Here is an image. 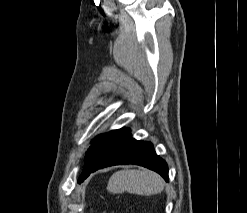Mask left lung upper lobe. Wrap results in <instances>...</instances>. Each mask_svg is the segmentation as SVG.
I'll list each match as a JSON object with an SVG mask.
<instances>
[{"label": "left lung upper lobe", "mask_w": 247, "mask_h": 213, "mask_svg": "<svg viewBox=\"0 0 247 213\" xmlns=\"http://www.w3.org/2000/svg\"><path fill=\"white\" fill-rule=\"evenodd\" d=\"M97 138H98V137H97ZM97 138H95V139L93 140V142H94ZM78 183H81V180H80V179H78Z\"/></svg>", "instance_id": "obj_1"}]
</instances>
